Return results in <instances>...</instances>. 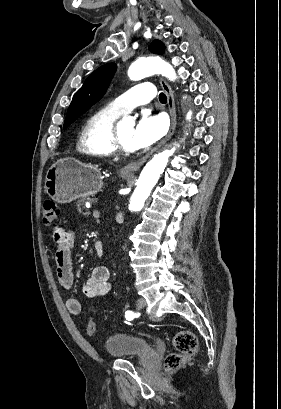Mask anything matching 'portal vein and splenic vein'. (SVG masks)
<instances>
[{"label": "portal vein and splenic vein", "mask_w": 281, "mask_h": 409, "mask_svg": "<svg viewBox=\"0 0 281 409\" xmlns=\"http://www.w3.org/2000/svg\"><path fill=\"white\" fill-rule=\"evenodd\" d=\"M92 214L95 219H100L101 218L100 208L96 207Z\"/></svg>", "instance_id": "1"}]
</instances>
